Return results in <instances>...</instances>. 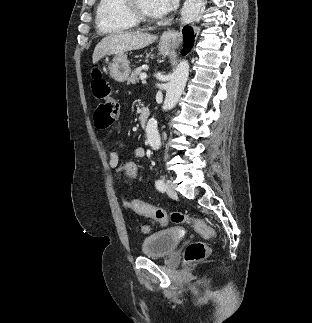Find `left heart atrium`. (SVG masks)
Instances as JSON below:
<instances>
[{
  "label": "left heart atrium",
  "mask_w": 312,
  "mask_h": 323,
  "mask_svg": "<svg viewBox=\"0 0 312 323\" xmlns=\"http://www.w3.org/2000/svg\"><path fill=\"white\" fill-rule=\"evenodd\" d=\"M179 0H153V12H175Z\"/></svg>",
  "instance_id": "obj_1"
}]
</instances>
